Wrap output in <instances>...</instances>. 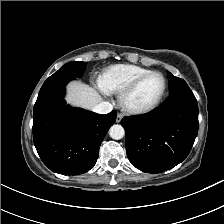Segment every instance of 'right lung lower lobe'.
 Here are the masks:
<instances>
[{
    "mask_svg": "<svg viewBox=\"0 0 224 224\" xmlns=\"http://www.w3.org/2000/svg\"><path fill=\"white\" fill-rule=\"evenodd\" d=\"M75 77L52 75L43 84L33 111V139L52 171L78 175L96 163L99 147L116 120L115 110L100 115L66 106L65 86Z\"/></svg>",
    "mask_w": 224,
    "mask_h": 224,
    "instance_id": "98d812e1",
    "label": "right lung lower lobe"
}]
</instances>
